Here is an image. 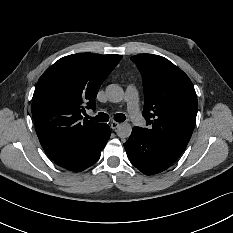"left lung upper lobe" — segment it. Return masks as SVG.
I'll use <instances>...</instances> for the list:
<instances>
[{"instance_id": "1", "label": "left lung upper lobe", "mask_w": 233, "mask_h": 233, "mask_svg": "<svg viewBox=\"0 0 233 233\" xmlns=\"http://www.w3.org/2000/svg\"><path fill=\"white\" fill-rule=\"evenodd\" d=\"M142 78L143 117L148 128H139L149 139L185 150L197 115V97L191 80L164 57L140 54L131 57Z\"/></svg>"}]
</instances>
